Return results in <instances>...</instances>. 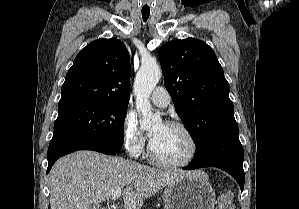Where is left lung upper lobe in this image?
Listing matches in <instances>:
<instances>
[{
  "label": "left lung upper lobe",
  "instance_id": "left-lung-upper-lobe-1",
  "mask_svg": "<svg viewBox=\"0 0 299 209\" xmlns=\"http://www.w3.org/2000/svg\"><path fill=\"white\" fill-rule=\"evenodd\" d=\"M164 84L191 134L195 156L213 137L237 125L229 83L212 48L201 40H174L159 49Z\"/></svg>",
  "mask_w": 299,
  "mask_h": 209
}]
</instances>
